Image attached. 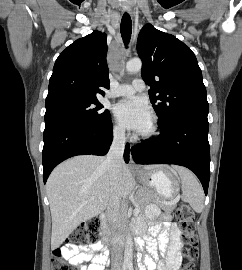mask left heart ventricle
I'll return each instance as SVG.
<instances>
[{
	"mask_svg": "<svg viewBox=\"0 0 242 270\" xmlns=\"http://www.w3.org/2000/svg\"><path fill=\"white\" fill-rule=\"evenodd\" d=\"M149 126V125H148ZM148 126L143 130V131H145L147 128H148Z\"/></svg>",
	"mask_w": 242,
	"mask_h": 270,
	"instance_id": "left-heart-ventricle-1",
	"label": "left heart ventricle"
}]
</instances>
